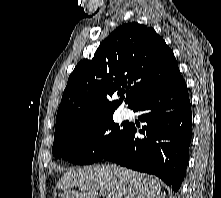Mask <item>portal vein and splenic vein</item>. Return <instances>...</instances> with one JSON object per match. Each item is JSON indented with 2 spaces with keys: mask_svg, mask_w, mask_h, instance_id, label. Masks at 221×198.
I'll use <instances>...</instances> for the list:
<instances>
[{
  "mask_svg": "<svg viewBox=\"0 0 221 198\" xmlns=\"http://www.w3.org/2000/svg\"><path fill=\"white\" fill-rule=\"evenodd\" d=\"M100 194H104V193L100 191Z\"/></svg>",
  "mask_w": 221,
  "mask_h": 198,
  "instance_id": "18ae733b",
  "label": "portal vein and splenic vein"
}]
</instances>
